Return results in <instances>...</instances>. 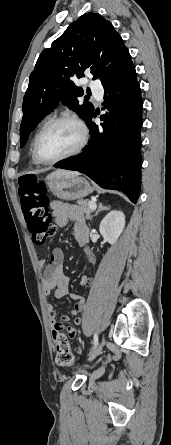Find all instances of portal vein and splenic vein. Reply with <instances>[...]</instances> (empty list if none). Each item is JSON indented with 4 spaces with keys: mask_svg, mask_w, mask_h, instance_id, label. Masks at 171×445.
Listing matches in <instances>:
<instances>
[{
    "mask_svg": "<svg viewBox=\"0 0 171 445\" xmlns=\"http://www.w3.org/2000/svg\"><path fill=\"white\" fill-rule=\"evenodd\" d=\"M88 205H89V208H90L91 210H94V209L96 208V203L93 202V201H90V202L88 203Z\"/></svg>",
    "mask_w": 171,
    "mask_h": 445,
    "instance_id": "portal-vein-and-splenic-vein-1",
    "label": "portal vein and splenic vein"
}]
</instances>
